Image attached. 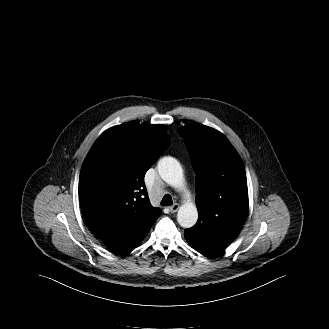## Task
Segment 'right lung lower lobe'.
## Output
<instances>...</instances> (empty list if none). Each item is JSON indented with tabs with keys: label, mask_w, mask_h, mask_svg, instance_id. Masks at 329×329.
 Here are the masks:
<instances>
[{
	"label": "right lung lower lobe",
	"mask_w": 329,
	"mask_h": 329,
	"mask_svg": "<svg viewBox=\"0 0 329 329\" xmlns=\"http://www.w3.org/2000/svg\"><path fill=\"white\" fill-rule=\"evenodd\" d=\"M149 230L150 229L134 237L117 238L105 244L111 252L120 254L140 243L146 237Z\"/></svg>",
	"instance_id": "obj_1"
}]
</instances>
